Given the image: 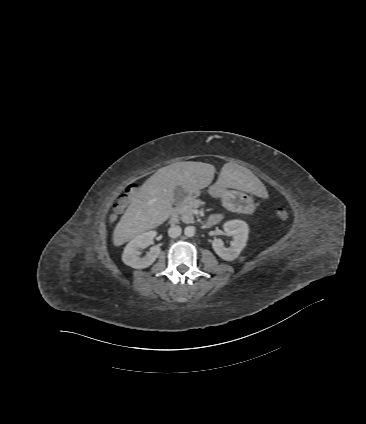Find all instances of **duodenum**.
<instances>
[{"label": "duodenum", "mask_w": 366, "mask_h": 424, "mask_svg": "<svg viewBox=\"0 0 366 424\" xmlns=\"http://www.w3.org/2000/svg\"><path fill=\"white\" fill-rule=\"evenodd\" d=\"M214 224H215V222H214V221H212V220H208V221L204 224V227H205V228H209V227H212Z\"/></svg>", "instance_id": "410a0bca"}]
</instances>
